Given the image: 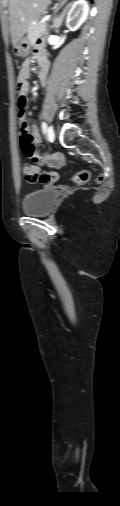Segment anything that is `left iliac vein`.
<instances>
[{
  "label": "left iliac vein",
  "mask_w": 120,
  "mask_h": 506,
  "mask_svg": "<svg viewBox=\"0 0 120 506\" xmlns=\"http://www.w3.org/2000/svg\"><path fill=\"white\" fill-rule=\"evenodd\" d=\"M47 137L50 141L54 140L55 138V131L52 126H49L47 129Z\"/></svg>",
  "instance_id": "left-iliac-vein-1"
}]
</instances>
